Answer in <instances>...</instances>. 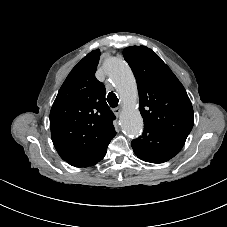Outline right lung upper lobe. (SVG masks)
<instances>
[{"label":"right lung upper lobe","mask_w":227,"mask_h":227,"mask_svg":"<svg viewBox=\"0 0 227 227\" xmlns=\"http://www.w3.org/2000/svg\"><path fill=\"white\" fill-rule=\"evenodd\" d=\"M99 49L86 55L69 73L50 111L52 142L59 156L75 167L103 159L116 135L105 87L95 77Z\"/></svg>","instance_id":"right-lung-upper-lobe-1"}]
</instances>
